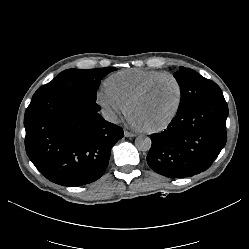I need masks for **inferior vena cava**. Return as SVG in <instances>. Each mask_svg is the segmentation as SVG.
<instances>
[{"mask_svg":"<svg viewBox=\"0 0 249 249\" xmlns=\"http://www.w3.org/2000/svg\"><path fill=\"white\" fill-rule=\"evenodd\" d=\"M101 115L108 122H111L114 124L118 123L116 114L111 110H102Z\"/></svg>","mask_w":249,"mask_h":249,"instance_id":"1","label":"inferior vena cava"}]
</instances>
